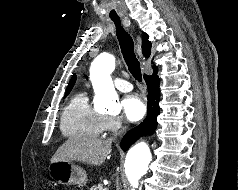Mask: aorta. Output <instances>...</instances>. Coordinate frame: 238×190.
Returning <instances> with one entry per match:
<instances>
[{"mask_svg": "<svg viewBox=\"0 0 238 190\" xmlns=\"http://www.w3.org/2000/svg\"><path fill=\"white\" fill-rule=\"evenodd\" d=\"M115 68V58L109 53L98 55L90 68V79L96 94L95 104L98 109L119 112L121 106L110 74ZM151 161V152L145 142H139L128 151L125 161V173L133 187L147 172ZM134 190V189H132Z\"/></svg>", "mask_w": 238, "mask_h": 190, "instance_id": "aorta-1", "label": "aorta"}]
</instances>
